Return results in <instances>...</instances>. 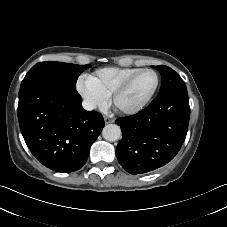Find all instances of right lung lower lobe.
Masks as SVG:
<instances>
[{
  "label": "right lung lower lobe",
  "instance_id": "obj_1",
  "mask_svg": "<svg viewBox=\"0 0 227 227\" xmlns=\"http://www.w3.org/2000/svg\"><path fill=\"white\" fill-rule=\"evenodd\" d=\"M76 91L57 81L38 79L20 88L18 120L32 154L55 172L79 170L104 127L95 111H86Z\"/></svg>",
  "mask_w": 227,
  "mask_h": 227
}]
</instances>
